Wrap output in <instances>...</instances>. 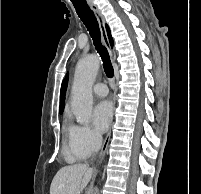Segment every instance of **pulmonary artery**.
Here are the masks:
<instances>
[{
	"mask_svg": "<svg viewBox=\"0 0 201 194\" xmlns=\"http://www.w3.org/2000/svg\"><path fill=\"white\" fill-rule=\"evenodd\" d=\"M92 91L98 97H105L108 94V88L104 83H96L93 86Z\"/></svg>",
	"mask_w": 201,
	"mask_h": 194,
	"instance_id": "e3ab8cb5",
	"label": "pulmonary artery"
}]
</instances>
